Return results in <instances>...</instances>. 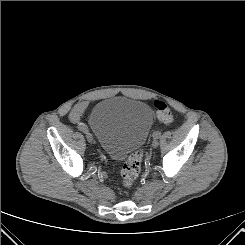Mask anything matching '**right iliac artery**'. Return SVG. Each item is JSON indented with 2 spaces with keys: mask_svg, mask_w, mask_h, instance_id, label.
I'll list each match as a JSON object with an SVG mask.
<instances>
[{
  "mask_svg": "<svg viewBox=\"0 0 245 245\" xmlns=\"http://www.w3.org/2000/svg\"><path fill=\"white\" fill-rule=\"evenodd\" d=\"M77 128H78L80 131H82V132L88 131V130H87V127H86L84 124H82V123H80V124L78 125Z\"/></svg>",
  "mask_w": 245,
  "mask_h": 245,
  "instance_id": "1",
  "label": "right iliac artery"
}]
</instances>
